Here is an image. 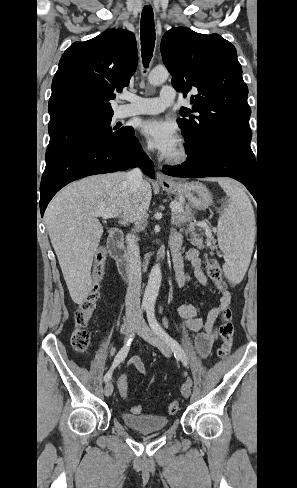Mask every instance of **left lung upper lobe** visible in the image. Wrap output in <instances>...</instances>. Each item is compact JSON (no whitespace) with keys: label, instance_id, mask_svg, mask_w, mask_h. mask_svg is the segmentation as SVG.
Listing matches in <instances>:
<instances>
[{"label":"left lung upper lobe","instance_id":"1","mask_svg":"<svg viewBox=\"0 0 297 488\" xmlns=\"http://www.w3.org/2000/svg\"><path fill=\"white\" fill-rule=\"evenodd\" d=\"M161 54L173 87L185 95L197 92L190 98L192 108L182 107L178 119L190 157L210 148L254 156L248 87L235 47L218 34L178 27L164 34Z\"/></svg>","mask_w":297,"mask_h":488}]
</instances>
